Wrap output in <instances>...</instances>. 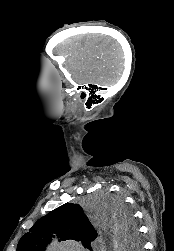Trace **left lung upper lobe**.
Segmentation results:
<instances>
[{
  "mask_svg": "<svg viewBox=\"0 0 174 251\" xmlns=\"http://www.w3.org/2000/svg\"><path fill=\"white\" fill-rule=\"evenodd\" d=\"M105 202L107 214L116 221L119 237L130 242L133 248L139 249L138 231L131 212L120 199L110 197ZM29 231L21 237L17 251H45L54 237L52 233H56L63 241H81L91 250L90 242L97 236L82 208L73 203L54 209L39 219Z\"/></svg>",
  "mask_w": 174,
  "mask_h": 251,
  "instance_id": "obj_1",
  "label": "left lung upper lobe"
}]
</instances>
